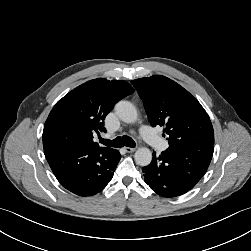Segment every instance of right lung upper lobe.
<instances>
[{"mask_svg":"<svg viewBox=\"0 0 251 251\" xmlns=\"http://www.w3.org/2000/svg\"><path fill=\"white\" fill-rule=\"evenodd\" d=\"M132 93L134 89L124 80L94 79L76 87L51 110L43 130L44 150L51 148L48 144L49 128L65 125L76 134V148L99 149L109 156L114 149L100 147L93 141V134L106 132V115L118 101Z\"/></svg>","mask_w":251,"mask_h":251,"instance_id":"1","label":"right lung upper lobe"}]
</instances>
